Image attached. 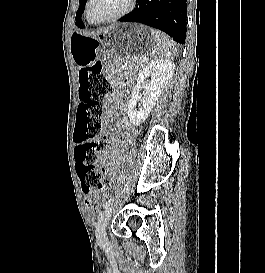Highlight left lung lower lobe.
I'll list each match as a JSON object with an SVG mask.
<instances>
[{"label":"left lung lower lobe","instance_id":"1","mask_svg":"<svg viewBox=\"0 0 265 273\" xmlns=\"http://www.w3.org/2000/svg\"><path fill=\"white\" fill-rule=\"evenodd\" d=\"M186 17V0H138L136 8L119 21L138 22L157 28L177 43L185 44Z\"/></svg>","mask_w":265,"mask_h":273}]
</instances>
